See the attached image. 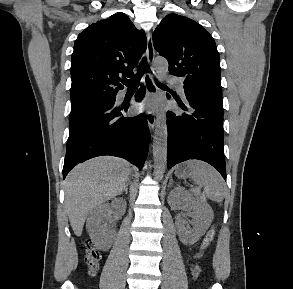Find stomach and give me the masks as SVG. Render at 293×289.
Masks as SVG:
<instances>
[{"label":"stomach","mask_w":293,"mask_h":289,"mask_svg":"<svg viewBox=\"0 0 293 289\" xmlns=\"http://www.w3.org/2000/svg\"><path fill=\"white\" fill-rule=\"evenodd\" d=\"M175 175L178 178H188L191 176V168L188 162L179 164L175 169Z\"/></svg>","instance_id":"0dacf381"}]
</instances>
